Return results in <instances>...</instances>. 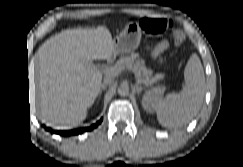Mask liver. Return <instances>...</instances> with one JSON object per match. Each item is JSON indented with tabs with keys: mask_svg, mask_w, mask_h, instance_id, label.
I'll return each mask as SVG.
<instances>
[{
	"mask_svg": "<svg viewBox=\"0 0 243 167\" xmlns=\"http://www.w3.org/2000/svg\"><path fill=\"white\" fill-rule=\"evenodd\" d=\"M113 53L111 33L102 26L51 38L31 68V92L42 121L62 128L80 125L102 83V72L92 60L109 59Z\"/></svg>",
	"mask_w": 243,
	"mask_h": 167,
	"instance_id": "1",
	"label": "liver"
}]
</instances>
